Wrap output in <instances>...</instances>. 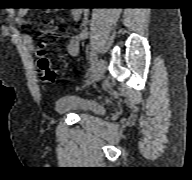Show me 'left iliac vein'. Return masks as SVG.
<instances>
[{
    "label": "left iliac vein",
    "instance_id": "left-iliac-vein-1",
    "mask_svg": "<svg viewBox=\"0 0 192 180\" xmlns=\"http://www.w3.org/2000/svg\"><path fill=\"white\" fill-rule=\"evenodd\" d=\"M106 66H105V62L103 59H100L96 65V68L94 69L92 75L89 77L88 81H87V85H91L94 84L96 82H98L104 72H105Z\"/></svg>",
    "mask_w": 192,
    "mask_h": 180
}]
</instances>
